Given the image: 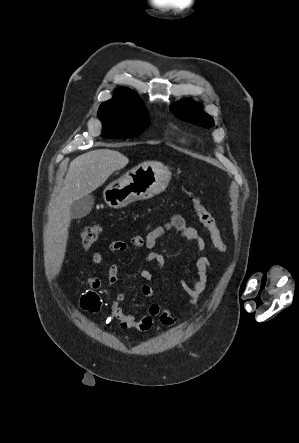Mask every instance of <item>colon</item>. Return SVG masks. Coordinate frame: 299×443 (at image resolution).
I'll list each match as a JSON object with an SVG mask.
<instances>
[{
	"label": "colon",
	"mask_w": 299,
	"mask_h": 443,
	"mask_svg": "<svg viewBox=\"0 0 299 443\" xmlns=\"http://www.w3.org/2000/svg\"><path fill=\"white\" fill-rule=\"evenodd\" d=\"M194 211L200 221V223L209 232L213 245L220 251L224 252L226 246L222 239L217 221L213 214L201 203V201L193 197L192 198ZM101 233V227L97 224H92L85 227L81 233V242L85 250L90 249L97 241Z\"/></svg>",
	"instance_id": "colon-1"
}]
</instances>
